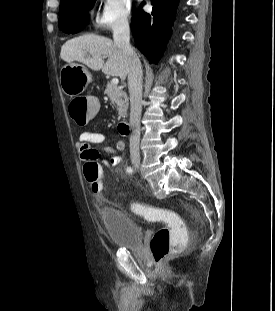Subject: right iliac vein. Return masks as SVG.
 Masks as SVG:
<instances>
[{
  "mask_svg": "<svg viewBox=\"0 0 275 311\" xmlns=\"http://www.w3.org/2000/svg\"><path fill=\"white\" fill-rule=\"evenodd\" d=\"M132 163L136 168H139L141 163L140 158H133Z\"/></svg>",
  "mask_w": 275,
  "mask_h": 311,
  "instance_id": "63e3f726",
  "label": "right iliac vein"
}]
</instances>
